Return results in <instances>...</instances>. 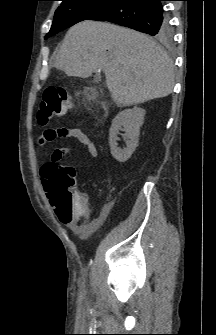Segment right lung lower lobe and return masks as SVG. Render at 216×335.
Here are the masks:
<instances>
[{"label":"right lung lower lobe","instance_id":"obj_1","mask_svg":"<svg viewBox=\"0 0 216 335\" xmlns=\"http://www.w3.org/2000/svg\"><path fill=\"white\" fill-rule=\"evenodd\" d=\"M163 0H116L89 20L109 21L158 36L169 27Z\"/></svg>","mask_w":216,"mask_h":335}]
</instances>
